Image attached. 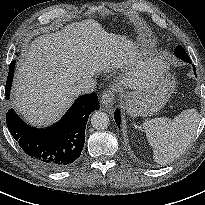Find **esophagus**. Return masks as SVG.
Here are the masks:
<instances>
[{"label": "esophagus", "mask_w": 205, "mask_h": 205, "mask_svg": "<svg viewBox=\"0 0 205 205\" xmlns=\"http://www.w3.org/2000/svg\"><path fill=\"white\" fill-rule=\"evenodd\" d=\"M114 92L111 90L104 91L101 95V105L110 108L114 104Z\"/></svg>", "instance_id": "1"}]
</instances>
